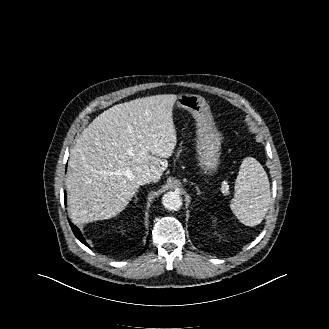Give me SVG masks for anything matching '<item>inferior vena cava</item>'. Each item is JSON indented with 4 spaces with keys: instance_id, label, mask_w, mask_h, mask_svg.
Returning a JSON list of instances; mask_svg holds the SVG:
<instances>
[{
    "instance_id": "inferior-vena-cava-1",
    "label": "inferior vena cava",
    "mask_w": 329,
    "mask_h": 329,
    "mask_svg": "<svg viewBox=\"0 0 329 329\" xmlns=\"http://www.w3.org/2000/svg\"><path fill=\"white\" fill-rule=\"evenodd\" d=\"M155 178L156 177L151 172L147 171V172H143V174L139 179V182L141 185H144L146 183L154 182Z\"/></svg>"
}]
</instances>
